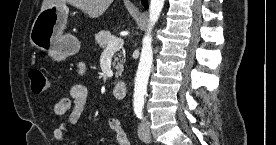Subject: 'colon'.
Segmentation results:
<instances>
[{"label":"colon","instance_id":"colon-1","mask_svg":"<svg viewBox=\"0 0 276 145\" xmlns=\"http://www.w3.org/2000/svg\"><path fill=\"white\" fill-rule=\"evenodd\" d=\"M31 89L35 94H42L50 88V82L44 71L40 68H32L29 71Z\"/></svg>","mask_w":276,"mask_h":145}]
</instances>
